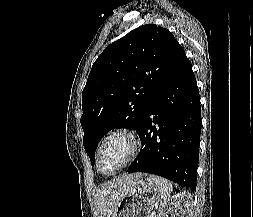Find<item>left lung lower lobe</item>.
Masks as SVG:
<instances>
[{"label":"left lung lower lobe","mask_w":253,"mask_h":217,"mask_svg":"<svg viewBox=\"0 0 253 217\" xmlns=\"http://www.w3.org/2000/svg\"><path fill=\"white\" fill-rule=\"evenodd\" d=\"M200 132L199 91L185 56L155 94L138 125L142 149L128 172L152 173L196 189Z\"/></svg>","instance_id":"obj_1"}]
</instances>
